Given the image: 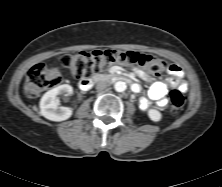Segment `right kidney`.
Returning <instances> with one entry per match:
<instances>
[{
    "instance_id": "right-kidney-1",
    "label": "right kidney",
    "mask_w": 222,
    "mask_h": 187,
    "mask_svg": "<svg viewBox=\"0 0 222 187\" xmlns=\"http://www.w3.org/2000/svg\"><path fill=\"white\" fill-rule=\"evenodd\" d=\"M73 88L68 84L59 85L46 92L40 100V113L51 121H64L71 117L72 110L69 107H59V95H71Z\"/></svg>"
}]
</instances>
